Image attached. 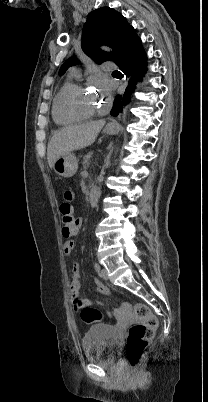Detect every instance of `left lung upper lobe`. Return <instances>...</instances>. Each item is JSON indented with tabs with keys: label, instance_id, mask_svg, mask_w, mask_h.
Masks as SVG:
<instances>
[{
	"label": "left lung upper lobe",
	"instance_id": "left-lung-upper-lobe-1",
	"mask_svg": "<svg viewBox=\"0 0 208 402\" xmlns=\"http://www.w3.org/2000/svg\"><path fill=\"white\" fill-rule=\"evenodd\" d=\"M131 26L126 19L114 9L103 7L92 11L84 24L82 32V50L97 64L116 58L123 41ZM112 47V53L99 49L100 45ZM77 64V59L71 57L64 62L59 70L62 75L66 70Z\"/></svg>",
	"mask_w": 208,
	"mask_h": 402
}]
</instances>
